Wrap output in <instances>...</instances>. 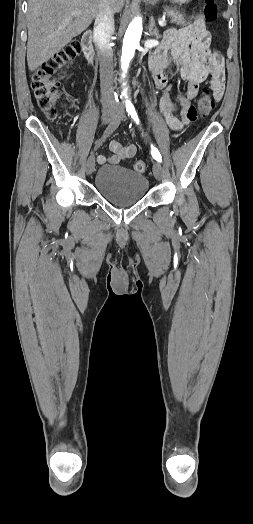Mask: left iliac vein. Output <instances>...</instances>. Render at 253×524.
<instances>
[{
  "label": "left iliac vein",
  "instance_id": "left-iliac-vein-1",
  "mask_svg": "<svg viewBox=\"0 0 253 524\" xmlns=\"http://www.w3.org/2000/svg\"><path fill=\"white\" fill-rule=\"evenodd\" d=\"M116 113L121 115L123 119L125 118L124 107L122 105H119L117 107ZM153 173L157 180H161L163 175V168L159 162H155L153 164Z\"/></svg>",
  "mask_w": 253,
  "mask_h": 524
}]
</instances>
